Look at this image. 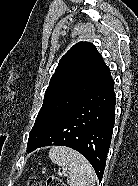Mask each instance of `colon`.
<instances>
[{
  "mask_svg": "<svg viewBox=\"0 0 138 186\" xmlns=\"http://www.w3.org/2000/svg\"><path fill=\"white\" fill-rule=\"evenodd\" d=\"M28 186H42L41 179L39 177L31 178L28 182ZM47 186H64V184L59 178L50 176L47 179Z\"/></svg>",
  "mask_w": 138,
  "mask_h": 186,
  "instance_id": "colon-1",
  "label": "colon"
}]
</instances>
